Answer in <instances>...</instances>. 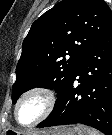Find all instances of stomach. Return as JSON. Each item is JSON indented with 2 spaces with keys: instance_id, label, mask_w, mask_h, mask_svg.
I'll list each match as a JSON object with an SVG mask.
<instances>
[{
  "instance_id": "obj_1",
  "label": "stomach",
  "mask_w": 112,
  "mask_h": 135,
  "mask_svg": "<svg viewBox=\"0 0 112 135\" xmlns=\"http://www.w3.org/2000/svg\"><path fill=\"white\" fill-rule=\"evenodd\" d=\"M6 134L21 135L19 132L8 130ZM23 135H84L83 129L79 126H61L50 131H34Z\"/></svg>"
}]
</instances>
